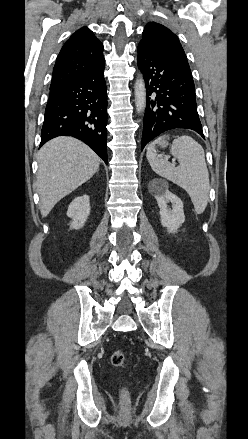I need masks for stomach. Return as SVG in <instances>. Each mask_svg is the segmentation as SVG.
<instances>
[{
  "instance_id": "obj_1",
  "label": "stomach",
  "mask_w": 248,
  "mask_h": 439,
  "mask_svg": "<svg viewBox=\"0 0 248 439\" xmlns=\"http://www.w3.org/2000/svg\"><path fill=\"white\" fill-rule=\"evenodd\" d=\"M158 143L161 147H166L168 145V142L166 140H161Z\"/></svg>"
}]
</instances>
